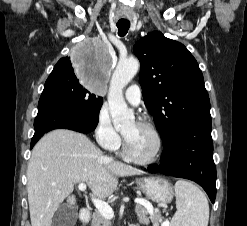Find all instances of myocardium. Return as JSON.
<instances>
[{
  "label": "myocardium",
  "instance_id": "1",
  "mask_svg": "<svg viewBox=\"0 0 247 226\" xmlns=\"http://www.w3.org/2000/svg\"><path fill=\"white\" fill-rule=\"evenodd\" d=\"M136 124L149 129L153 133V135L155 136L156 142H157V147H156L155 153L151 157L146 158V159H142V158H138V157L134 156L131 153V151L128 147L127 141H126L124 136H123V143H122L123 153H124L125 157L133 163H136L139 165L154 164L155 162H157L160 159L162 152H163V145L164 144H163L162 135H161L160 131L158 130V128L152 122H150L148 120H140Z\"/></svg>",
  "mask_w": 247,
  "mask_h": 226
}]
</instances>
